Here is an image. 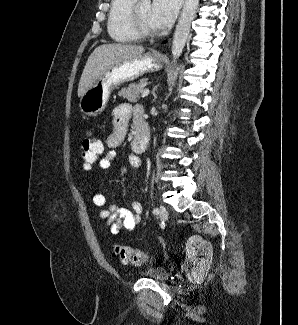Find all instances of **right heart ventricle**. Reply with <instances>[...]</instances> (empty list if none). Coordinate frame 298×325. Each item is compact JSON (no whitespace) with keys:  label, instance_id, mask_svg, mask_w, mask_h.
Returning a JSON list of instances; mask_svg holds the SVG:
<instances>
[{"label":"right heart ventricle","instance_id":"e07e8e85","mask_svg":"<svg viewBox=\"0 0 298 325\" xmlns=\"http://www.w3.org/2000/svg\"><path fill=\"white\" fill-rule=\"evenodd\" d=\"M129 2L130 0H115L110 5L107 32L109 37H113V41H132L133 43L137 40L125 28Z\"/></svg>","mask_w":298,"mask_h":325}]
</instances>
